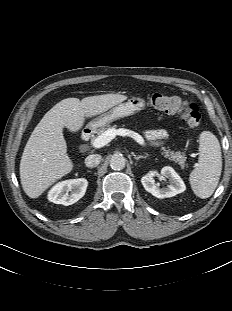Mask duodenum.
<instances>
[{"label": "duodenum", "mask_w": 232, "mask_h": 311, "mask_svg": "<svg viewBox=\"0 0 232 311\" xmlns=\"http://www.w3.org/2000/svg\"><path fill=\"white\" fill-rule=\"evenodd\" d=\"M91 135H92L91 129L86 128L82 131L80 138L82 141H88L90 139Z\"/></svg>", "instance_id": "duodenum-1"}]
</instances>
